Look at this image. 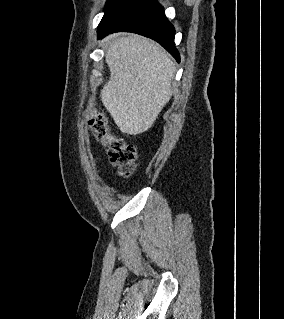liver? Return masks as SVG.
Listing matches in <instances>:
<instances>
[{
    "label": "liver",
    "instance_id": "1",
    "mask_svg": "<svg viewBox=\"0 0 284 319\" xmlns=\"http://www.w3.org/2000/svg\"><path fill=\"white\" fill-rule=\"evenodd\" d=\"M110 78L101 100L123 133L137 135L156 121L172 96L175 67L156 42L136 34L107 39Z\"/></svg>",
    "mask_w": 284,
    "mask_h": 319
}]
</instances>
